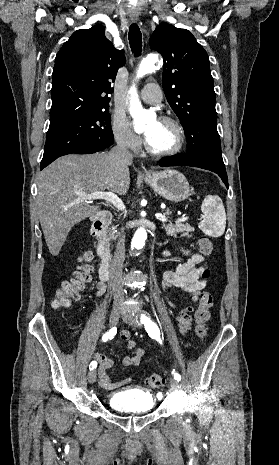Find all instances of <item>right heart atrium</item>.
<instances>
[{
  "mask_svg": "<svg viewBox=\"0 0 279 465\" xmlns=\"http://www.w3.org/2000/svg\"><path fill=\"white\" fill-rule=\"evenodd\" d=\"M112 134L116 144L127 151H137L141 145L140 138L131 130L127 119L116 114L112 121Z\"/></svg>",
  "mask_w": 279,
  "mask_h": 465,
  "instance_id": "1",
  "label": "right heart atrium"
}]
</instances>
